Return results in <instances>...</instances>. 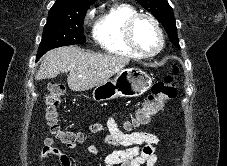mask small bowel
<instances>
[{
    "instance_id": "1",
    "label": "small bowel",
    "mask_w": 227,
    "mask_h": 166,
    "mask_svg": "<svg viewBox=\"0 0 227 166\" xmlns=\"http://www.w3.org/2000/svg\"><path fill=\"white\" fill-rule=\"evenodd\" d=\"M90 133L96 134L107 131L104 142L107 146L116 148L115 151L105 155L104 166H155L157 155L156 145L159 143L158 136L148 132L124 133L117 126L114 115H111L106 126L96 123L88 127ZM83 146L93 156H98L99 151L94 145L80 143L72 145V148ZM126 147V149H119ZM56 156L58 166H74L72 159L54 146V140L47 137L37 156L42 166H47L49 158Z\"/></svg>"
}]
</instances>
